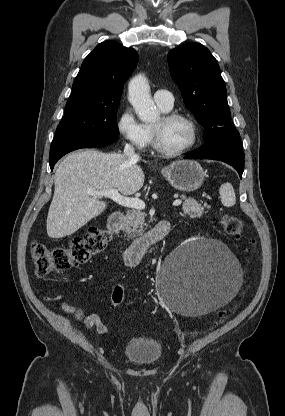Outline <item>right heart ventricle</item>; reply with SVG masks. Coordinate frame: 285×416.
<instances>
[{"label":"right heart ventricle","mask_w":285,"mask_h":416,"mask_svg":"<svg viewBox=\"0 0 285 416\" xmlns=\"http://www.w3.org/2000/svg\"><path fill=\"white\" fill-rule=\"evenodd\" d=\"M164 110V109H163ZM148 128V130H149V133H150V137H151V131H150V129H149V127H147Z\"/></svg>","instance_id":"right-heart-ventricle-1"}]
</instances>
